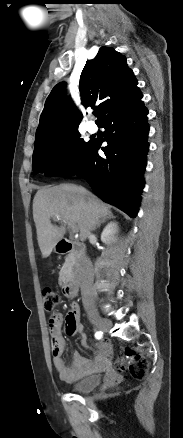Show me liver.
<instances>
[{
  "label": "liver",
  "mask_w": 183,
  "mask_h": 438,
  "mask_svg": "<svg viewBox=\"0 0 183 438\" xmlns=\"http://www.w3.org/2000/svg\"><path fill=\"white\" fill-rule=\"evenodd\" d=\"M110 213L97 196L81 186L61 184L38 190L33 200V218L42 257L47 258L63 238L65 224L75 226L85 240L100 219ZM56 216L64 223L60 227L51 223Z\"/></svg>",
  "instance_id": "liver-1"
}]
</instances>
